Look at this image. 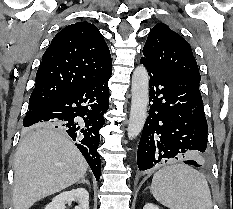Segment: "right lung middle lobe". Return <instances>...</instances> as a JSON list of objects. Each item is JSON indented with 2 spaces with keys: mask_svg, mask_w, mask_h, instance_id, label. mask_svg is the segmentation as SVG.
Segmentation results:
<instances>
[{
  "mask_svg": "<svg viewBox=\"0 0 233 209\" xmlns=\"http://www.w3.org/2000/svg\"><path fill=\"white\" fill-rule=\"evenodd\" d=\"M38 106H40V105H36V104H32V103H29V111H32L33 109H35L36 107H38ZM28 111V112H29ZM38 126H48V127H55V125L54 124H52V123H43V124H38V125H36L35 127H38ZM34 127V128H35Z\"/></svg>",
  "mask_w": 233,
  "mask_h": 209,
  "instance_id": "right-lung-middle-lobe-1",
  "label": "right lung middle lobe"
}]
</instances>
